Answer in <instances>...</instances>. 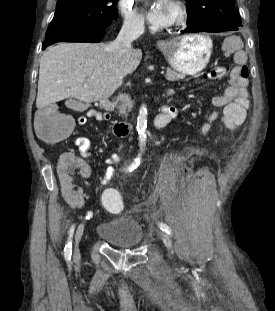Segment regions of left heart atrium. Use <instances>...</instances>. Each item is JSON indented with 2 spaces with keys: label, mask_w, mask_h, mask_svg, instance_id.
<instances>
[{
  "label": "left heart atrium",
  "mask_w": 275,
  "mask_h": 311,
  "mask_svg": "<svg viewBox=\"0 0 275 311\" xmlns=\"http://www.w3.org/2000/svg\"><path fill=\"white\" fill-rule=\"evenodd\" d=\"M171 3V0L151 2L146 11L148 21L158 28L168 26L171 23Z\"/></svg>",
  "instance_id": "obj_1"
}]
</instances>
